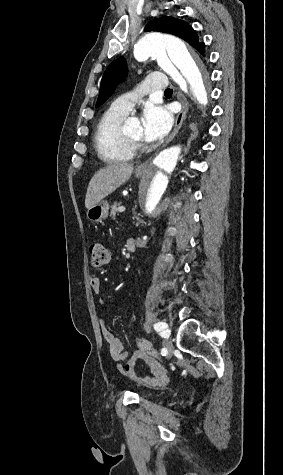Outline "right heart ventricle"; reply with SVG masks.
<instances>
[{"mask_svg": "<svg viewBox=\"0 0 283 475\" xmlns=\"http://www.w3.org/2000/svg\"><path fill=\"white\" fill-rule=\"evenodd\" d=\"M128 115V111L111 104L99 117L95 132L94 144L105 162L129 161V156H116L111 147L123 131L122 125Z\"/></svg>", "mask_w": 283, "mask_h": 475, "instance_id": "e07e8e85", "label": "right heart ventricle"}]
</instances>
